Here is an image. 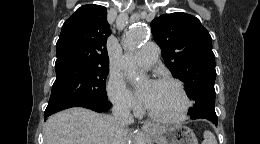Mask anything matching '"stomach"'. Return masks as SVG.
<instances>
[{
  "label": "stomach",
  "instance_id": "1",
  "mask_svg": "<svg viewBox=\"0 0 260 144\" xmlns=\"http://www.w3.org/2000/svg\"><path fill=\"white\" fill-rule=\"evenodd\" d=\"M155 144H198L194 132L187 126L156 127L149 132Z\"/></svg>",
  "mask_w": 260,
  "mask_h": 144
}]
</instances>
